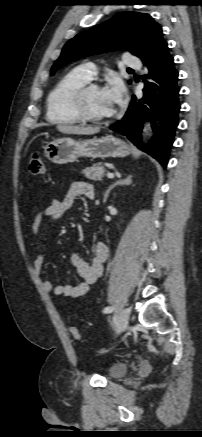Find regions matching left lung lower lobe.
<instances>
[{
    "instance_id": "0a47b994",
    "label": "left lung lower lobe",
    "mask_w": 202,
    "mask_h": 437,
    "mask_svg": "<svg viewBox=\"0 0 202 437\" xmlns=\"http://www.w3.org/2000/svg\"><path fill=\"white\" fill-rule=\"evenodd\" d=\"M143 63L148 69V73L143 76V97L138 99L132 96L124 117L111 125L110 129L126 135L139 149L158 160L165 168L180 111L178 71L167 43ZM146 119H151L154 131L149 145H144L140 139Z\"/></svg>"
}]
</instances>
